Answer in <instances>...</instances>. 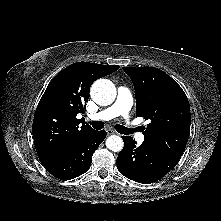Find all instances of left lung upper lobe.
Listing matches in <instances>:
<instances>
[{
    "label": "left lung upper lobe",
    "instance_id": "5c2ea615",
    "mask_svg": "<svg viewBox=\"0 0 221 221\" xmlns=\"http://www.w3.org/2000/svg\"><path fill=\"white\" fill-rule=\"evenodd\" d=\"M136 93V117L149 119L144 143L179 161L191 124L190 106L182 88L160 69L123 67Z\"/></svg>",
    "mask_w": 221,
    "mask_h": 221
}]
</instances>
